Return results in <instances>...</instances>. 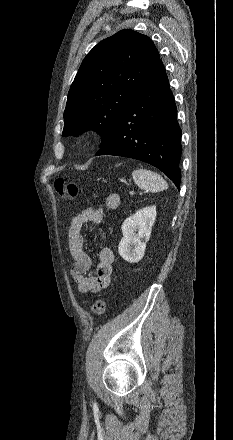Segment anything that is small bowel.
<instances>
[{
	"label": "small bowel",
	"mask_w": 233,
	"mask_h": 440,
	"mask_svg": "<svg viewBox=\"0 0 233 440\" xmlns=\"http://www.w3.org/2000/svg\"><path fill=\"white\" fill-rule=\"evenodd\" d=\"M120 197L118 194L111 193L103 204L88 208L76 215L71 223L68 242L69 251L73 258L70 267L76 289L80 293H97L107 288L111 281L114 253L108 246H103L99 252V261L95 273L90 272L92 260L85 252L84 241L81 233L82 226L89 222L94 226H99L107 212L114 211L119 207Z\"/></svg>",
	"instance_id": "1"
}]
</instances>
